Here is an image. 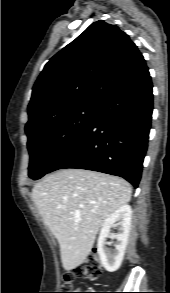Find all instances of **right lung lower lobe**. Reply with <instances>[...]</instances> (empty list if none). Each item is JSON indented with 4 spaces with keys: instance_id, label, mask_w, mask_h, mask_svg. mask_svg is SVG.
Wrapping results in <instances>:
<instances>
[{
    "instance_id": "obj_1",
    "label": "right lung lower lobe",
    "mask_w": 170,
    "mask_h": 293,
    "mask_svg": "<svg viewBox=\"0 0 170 293\" xmlns=\"http://www.w3.org/2000/svg\"><path fill=\"white\" fill-rule=\"evenodd\" d=\"M153 111L149 72L106 98L94 121L50 166L48 173L77 168L123 177L134 187L141 178Z\"/></svg>"
}]
</instances>
